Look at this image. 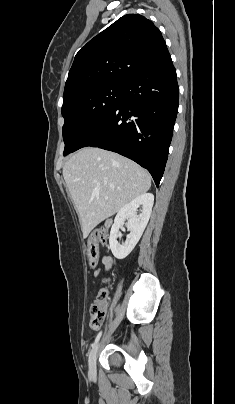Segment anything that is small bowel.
I'll list each match as a JSON object with an SVG mask.
<instances>
[{
  "label": "small bowel",
  "instance_id": "1",
  "mask_svg": "<svg viewBox=\"0 0 235 404\" xmlns=\"http://www.w3.org/2000/svg\"><path fill=\"white\" fill-rule=\"evenodd\" d=\"M103 264H104V266L106 267V269H109L110 266H111V264H112L111 258H110L109 256L103 257ZM99 272H100L99 269L96 270V271L94 272V275L97 276V275L99 274Z\"/></svg>",
  "mask_w": 235,
  "mask_h": 404
}]
</instances>
